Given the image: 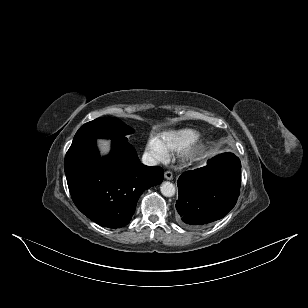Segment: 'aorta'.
<instances>
[{
  "mask_svg": "<svg viewBox=\"0 0 308 308\" xmlns=\"http://www.w3.org/2000/svg\"><path fill=\"white\" fill-rule=\"evenodd\" d=\"M160 190L165 197H172L175 194V186L168 181L161 184Z\"/></svg>",
  "mask_w": 308,
  "mask_h": 308,
  "instance_id": "1",
  "label": "aorta"
}]
</instances>
